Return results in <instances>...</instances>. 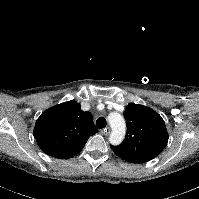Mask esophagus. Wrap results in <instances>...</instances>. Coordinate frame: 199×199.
Returning <instances> with one entry per match:
<instances>
[{"label": "esophagus", "mask_w": 199, "mask_h": 199, "mask_svg": "<svg viewBox=\"0 0 199 199\" xmlns=\"http://www.w3.org/2000/svg\"><path fill=\"white\" fill-rule=\"evenodd\" d=\"M111 129L110 127H106L104 128L103 130H101V132L104 134V135H108L110 133Z\"/></svg>", "instance_id": "34e87169"}]
</instances>
